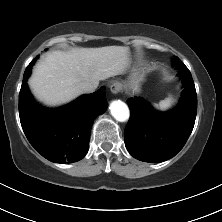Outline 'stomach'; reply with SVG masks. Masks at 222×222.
Returning a JSON list of instances; mask_svg holds the SVG:
<instances>
[{
	"instance_id": "1",
	"label": "stomach",
	"mask_w": 222,
	"mask_h": 222,
	"mask_svg": "<svg viewBox=\"0 0 222 222\" xmlns=\"http://www.w3.org/2000/svg\"><path fill=\"white\" fill-rule=\"evenodd\" d=\"M143 80V74L137 71H134L130 76L129 87L133 91H138L139 83Z\"/></svg>"
}]
</instances>
